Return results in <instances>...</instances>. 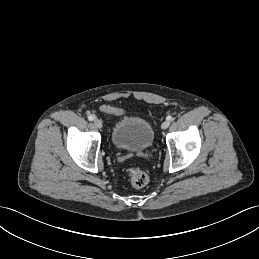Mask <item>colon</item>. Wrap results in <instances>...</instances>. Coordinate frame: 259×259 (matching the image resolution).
<instances>
[{"mask_svg": "<svg viewBox=\"0 0 259 259\" xmlns=\"http://www.w3.org/2000/svg\"><path fill=\"white\" fill-rule=\"evenodd\" d=\"M102 111L104 113L110 114V115H120L123 114L125 111L121 108H116L112 106H104L102 107ZM127 177L129 179L130 184L135 188H142L145 185H147L149 181L148 174L138 168V167H131L127 169Z\"/></svg>", "mask_w": 259, "mask_h": 259, "instance_id": "1", "label": "colon"}]
</instances>
